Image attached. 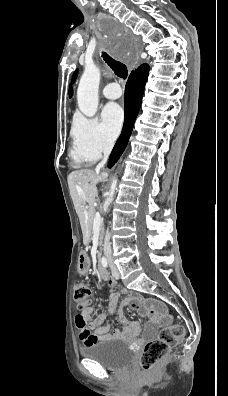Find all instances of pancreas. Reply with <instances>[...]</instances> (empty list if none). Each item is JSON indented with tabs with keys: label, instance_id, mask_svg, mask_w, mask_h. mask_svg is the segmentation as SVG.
Listing matches in <instances>:
<instances>
[{
	"label": "pancreas",
	"instance_id": "cf45deb5",
	"mask_svg": "<svg viewBox=\"0 0 228 396\" xmlns=\"http://www.w3.org/2000/svg\"><path fill=\"white\" fill-rule=\"evenodd\" d=\"M94 217V214H93V216H92V218H91V220H90V231H91V229H92V224H93V218ZM103 234H104V230H103V227L102 226H100V241H102V239H103ZM91 238L89 239V243L91 242Z\"/></svg>",
	"mask_w": 228,
	"mask_h": 396
}]
</instances>
